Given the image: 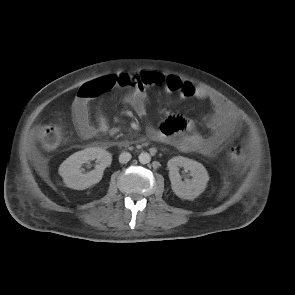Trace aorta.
Listing matches in <instances>:
<instances>
[{"label": "aorta", "instance_id": "762f6f07", "mask_svg": "<svg viewBox=\"0 0 295 295\" xmlns=\"http://www.w3.org/2000/svg\"><path fill=\"white\" fill-rule=\"evenodd\" d=\"M138 158L141 164H147L151 161V156L147 152L140 153Z\"/></svg>", "mask_w": 295, "mask_h": 295}]
</instances>
